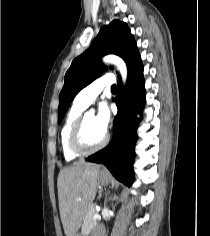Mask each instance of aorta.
<instances>
[{"label": "aorta", "instance_id": "aorta-1", "mask_svg": "<svg viewBox=\"0 0 210 236\" xmlns=\"http://www.w3.org/2000/svg\"><path fill=\"white\" fill-rule=\"evenodd\" d=\"M104 63H111L117 66L120 74L122 76V80L125 83L127 78V67L125 62L116 55H107L103 58Z\"/></svg>", "mask_w": 210, "mask_h": 236}]
</instances>
